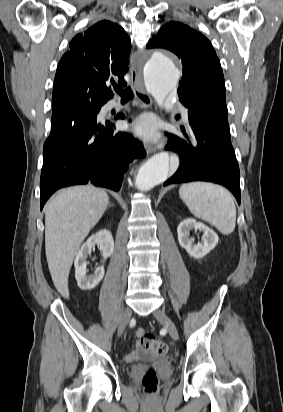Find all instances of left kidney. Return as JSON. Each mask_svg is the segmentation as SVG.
<instances>
[{"label": "left kidney", "mask_w": 283, "mask_h": 412, "mask_svg": "<svg viewBox=\"0 0 283 412\" xmlns=\"http://www.w3.org/2000/svg\"><path fill=\"white\" fill-rule=\"evenodd\" d=\"M192 229L204 232L201 243L194 244V240L189 237ZM177 233L180 246L195 259L207 255L215 248L219 240L218 235L212 229L192 218L183 220L177 228Z\"/></svg>", "instance_id": "left-kidney-1"}]
</instances>
